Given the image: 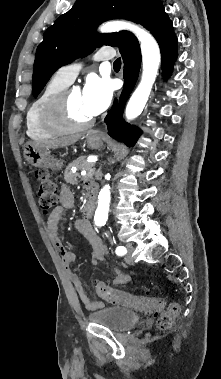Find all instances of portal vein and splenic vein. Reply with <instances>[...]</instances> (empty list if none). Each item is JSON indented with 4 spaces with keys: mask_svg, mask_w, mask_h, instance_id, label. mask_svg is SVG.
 <instances>
[{
    "mask_svg": "<svg viewBox=\"0 0 221 379\" xmlns=\"http://www.w3.org/2000/svg\"><path fill=\"white\" fill-rule=\"evenodd\" d=\"M97 160L96 159H94V160H91V161H89V162H91V163H95ZM94 168H92L89 172H88V174L89 175H92L93 173H94ZM81 175H83V176H85V175H87V172L84 170V171H82L81 172Z\"/></svg>",
    "mask_w": 221,
    "mask_h": 379,
    "instance_id": "obj_1",
    "label": "portal vein and splenic vein"
}]
</instances>
